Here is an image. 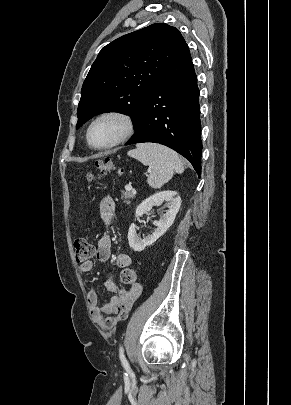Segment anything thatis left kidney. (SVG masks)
<instances>
[{"instance_id": "obj_1", "label": "left kidney", "mask_w": 291, "mask_h": 405, "mask_svg": "<svg viewBox=\"0 0 291 405\" xmlns=\"http://www.w3.org/2000/svg\"><path fill=\"white\" fill-rule=\"evenodd\" d=\"M165 202L168 210L160 220H155L153 224L157 227L151 235L141 239L136 234V225L132 223L128 231L129 246L137 252L145 249L147 246H151L157 241L173 224L176 214L181 206V198L177 195V192L167 190L153 194L145 199L137 208L135 217L142 216L144 213L149 212L153 206Z\"/></svg>"}]
</instances>
